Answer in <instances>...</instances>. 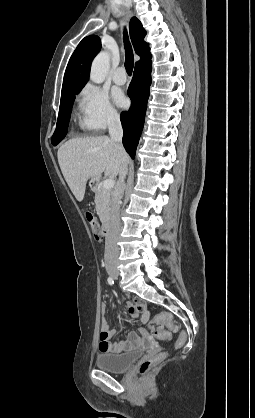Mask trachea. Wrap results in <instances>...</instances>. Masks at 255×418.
<instances>
[{
	"mask_svg": "<svg viewBox=\"0 0 255 418\" xmlns=\"http://www.w3.org/2000/svg\"><path fill=\"white\" fill-rule=\"evenodd\" d=\"M124 47H125V69L128 73V75L132 74L133 71V67H134V56H133V51H132V47L131 44L129 42L128 39V35L127 32L124 31Z\"/></svg>",
	"mask_w": 255,
	"mask_h": 418,
	"instance_id": "3493384b",
	"label": "trachea"
}]
</instances>
